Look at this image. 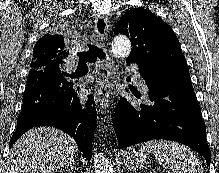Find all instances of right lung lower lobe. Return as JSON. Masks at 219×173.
<instances>
[{"mask_svg": "<svg viewBox=\"0 0 219 173\" xmlns=\"http://www.w3.org/2000/svg\"><path fill=\"white\" fill-rule=\"evenodd\" d=\"M77 91L57 70L44 68L30 71L23 108L9 146L33 127L53 126L75 138L84 157L91 160L97 112L91 95L87 101L81 102Z\"/></svg>", "mask_w": 219, "mask_h": 173, "instance_id": "obj_1", "label": "right lung lower lobe"}]
</instances>
